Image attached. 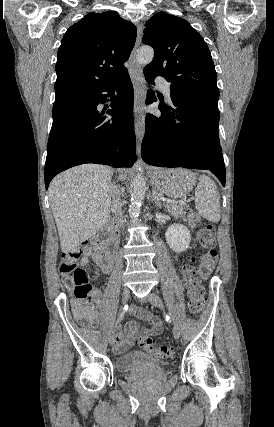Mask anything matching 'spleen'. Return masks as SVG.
<instances>
[{
    "label": "spleen",
    "mask_w": 274,
    "mask_h": 427,
    "mask_svg": "<svg viewBox=\"0 0 274 427\" xmlns=\"http://www.w3.org/2000/svg\"><path fill=\"white\" fill-rule=\"evenodd\" d=\"M197 212L209 221H219L221 217L220 198L216 184L208 176H200L195 190Z\"/></svg>",
    "instance_id": "spleen-1"
}]
</instances>
